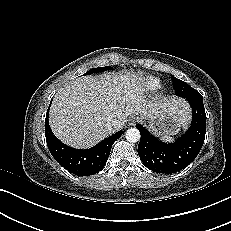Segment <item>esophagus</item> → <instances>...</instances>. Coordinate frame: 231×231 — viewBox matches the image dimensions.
<instances>
[{"label": "esophagus", "instance_id": "esophagus-1", "mask_svg": "<svg viewBox=\"0 0 231 231\" xmlns=\"http://www.w3.org/2000/svg\"><path fill=\"white\" fill-rule=\"evenodd\" d=\"M136 122H137V119H136L135 117H131V118L128 120V124H129V125H134Z\"/></svg>", "mask_w": 231, "mask_h": 231}]
</instances>
